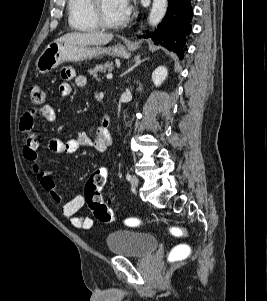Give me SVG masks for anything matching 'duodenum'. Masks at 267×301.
<instances>
[{"instance_id": "1", "label": "duodenum", "mask_w": 267, "mask_h": 301, "mask_svg": "<svg viewBox=\"0 0 267 301\" xmlns=\"http://www.w3.org/2000/svg\"><path fill=\"white\" fill-rule=\"evenodd\" d=\"M109 125H110V117L108 114H104V116L102 118V126L105 129H108Z\"/></svg>"}]
</instances>
